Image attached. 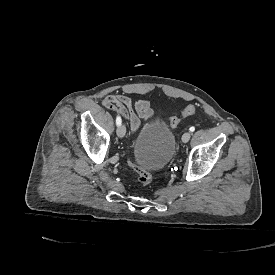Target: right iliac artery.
Segmentation results:
<instances>
[{"label":"right iliac artery","instance_id":"1","mask_svg":"<svg viewBox=\"0 0 275 275\" xmlns=\"http://www.w3.org/2000/svg\"><path fill=\"white\" fill-rule=\"evenodd\" d=\"M121 117H119V116H117V118H116V124H117V126H119V125H121Z\"/></svg>","mask_w":275,"mask_h":275}]
</instances>
